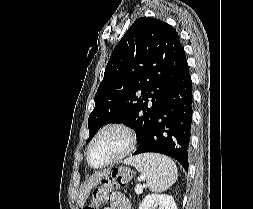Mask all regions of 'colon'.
<instances>
[{
  "instance_id": "5ec220e1",
  "label": "colon",
  "mask_w": 253,
  "mask_h": 209,
  "mask_svg": "<svg viewBox=\"0 0 253 209\" xmlns=\"http://www.w3.org/2000/svg\"><path fill=\"white\" fill-rule=\"evenodd\" d=\"M131 178L129 172L125 170H117L113 176H110L103 180L100 186L93 190V199L91 204L84 207V209H98L100 202H102L107 190L115 185H123Z\"/></svg>"
}]
</instances>
